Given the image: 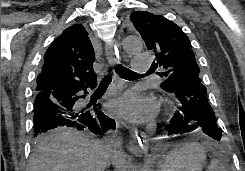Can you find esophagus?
Here are the masks:
<instances>
[{"mask_svg":"<svg viewBox=\"0 0 245 171\" xmlns=\"http://www.w3.org/2000/svg\"><path fill=\"white\" fill-rule=\"evenodd\" d=\"M105 52L109 64L115 69L119 56H117L112 46L109 44L105 45ZM129 132L133 140L128 146L129 150L138 154L147 153L149 141L146 134L144 132L139 133L136 129L131 127L129 128Z\"/></svg>","mask_w":245,"mask_h":171,"instance_id":"1","label":"esophagus"}]
</instances>
